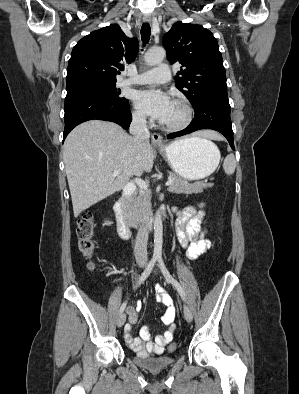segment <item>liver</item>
I'll return each instance as SVG.
<instances>
[{
  "mask_svg": "<svg viewBox=\"0 0 299 394\" xmlns=\"http://www.w3.org/2000/svg\"><path fill=\"white\" fill-rule=\"evenodd\" d=\"M198 137L220 139L214 131H200ZM65 172L74 216L122 190L132 176L151 172L154 152L149 142L139 148L135 139L119 125L90 120L78 125L63 145ZM113 170H119L113 176Z\"/></svg>",
  "mask_w": 299,
  "mask_h": 394,
  "instance_id": "obj_1",
  "label": "liver"
}]
</instances>
